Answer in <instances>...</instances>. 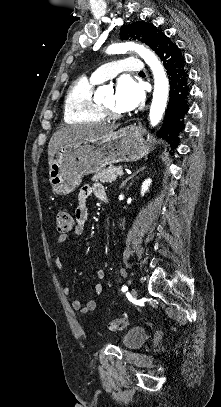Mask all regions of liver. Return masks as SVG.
<instances>
[{
  "mask_svg": "<svg viewBox=\"0 0 221 407\" xmlns=\"http://www.w3.org/2000/svg\"><path fill=\"white\" fill-rule=\"evenodd\" d=\"M117 128L118 125L96 123L70 125L57 130L48 144V163L50 164L56 152L64 145L82 140L95 139L104 134L111 133Z\"/></svg>",
  "mask_w": 221,
  "mask_h": 407,
  "instance_id": "6515ba94",
  "label": "liver"
}]
</instances>
